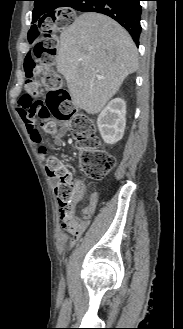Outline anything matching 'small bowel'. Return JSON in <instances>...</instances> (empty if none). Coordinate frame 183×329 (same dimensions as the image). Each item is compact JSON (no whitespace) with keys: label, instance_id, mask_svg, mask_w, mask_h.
<instances>
[{"label":"small bowel","instance_id":"c3829d8e","mask_svg":"<svg viewBox=\"0 0 183 329\" xmlns=\"http://www.w3.org/2000/svg\"><path fill=\"white\" fill-rule=\"evenodd\" d=\"M21 120L23 121L26 130L28 132V134L31 137L32 142L35 145H40L41 144V136L39 134V132L36 129V125L34 123V117L32 114H19ZM68 127L67 123H62L61 124V128H60V135L56 137V144L58 146L62 145L64 140H63V134L66 132ZM40 150L42 153H45L46 150H44L43 146H40ZM74 178V177H73ZM75 183L78 187L79 190V195L80 198L85 194L86 191V187L84 185V183L79 180L74 178ZM98 201H99V196L97 193H93L90 196L89 199V203L86 205V207L82 210V217L79 218L76 214V207L72 208L69 211L63 212L60 211V217L62 220L63 224H71L73 226H77L79 231L78 233H73V234H79L81 233L83 230H85L87 228V226L90 223V218L91 216L94 214L96 207L98 205Z\"/></svg>","mask_w":183,"mask_h":329}]
</instances>
